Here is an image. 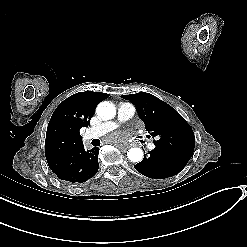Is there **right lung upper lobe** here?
Masks as SVG:
<instances>
[{"label": "right lung upper lobe", "mask_w": 247, "mask_h": 247, "mask_svg": "<svg viewBox=\"0 0 247 247\" xmlns=\"http://www.w3.org/2000/svg\"><path fill=\"white\" fill-rule=\"evenodd\" d=\"M109 96L102 92L85 91L73 94L59 104L47 127V161L81 143L80 128L89 125L96 106Z\"/></svg>", "instance_id": "cb5924a9"}]
</instances>
